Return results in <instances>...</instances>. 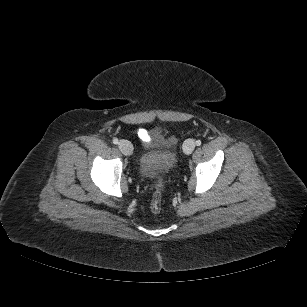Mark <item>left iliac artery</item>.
Listing matches in <instances>:
<instances>
[{
	"instance_id": "obj_1",
	"label": "left iliac artery",
	"mask_w": 307,
	"mask_h": 307,
	"mask_svg": "<svg viewBox=\"0 0 307 307\" xmlns=\"http://www.w3.org/2000/svg\"><path fill=\"white\" fill-rule=\"evenodd\" d=\"M201 143H202L201 140H197V141H196V145H197V146H200Z\"/></svg>"
}]
</instances>
